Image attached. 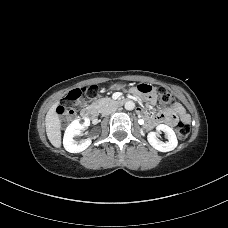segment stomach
<instances>
[{
  "label": "stomach",
  "instance_id": "stomach-1",
  "mask_svg": "<svg viewBox=\"0 0 228 228\" xmlns=\"http://www.w3.org/2000/svg\"><path fill=\"white\" fill-rule=\"evenodd\" d=\"M124 85L121 84H112L110 85V89H122Z\"/></svg>",
  "mask_w": 228,
  "mask_h": 228
}]
</instances>
